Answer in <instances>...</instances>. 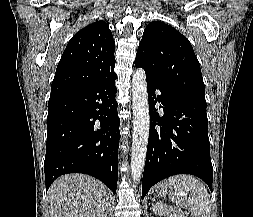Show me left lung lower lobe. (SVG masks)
<instances>
[{
	"label": "left lung lower lobe",
	"instance_id": "obj_1",
	"mask_svg": "<svg viewBox=\"0 0 253 217\" xmlns=\"http://www.w3.org/2000/svg\"><path fill=\"white\" fill-rule=\"evenodd\" d=\"M146 80L150 130L142 197L154 184L175 174L195 175L212 191L206 101L172 90L151 76L146 75ZM157 89L161 95L156 96ZM157 102L163 105V116L156 112Z\"/></svg>",
	"mask_w": 253,
	"mask_h": 217
}]
</instances>
